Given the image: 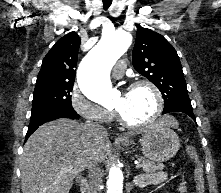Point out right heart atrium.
Returning a JSON list of instances; mask_svg holds the SVG:
<instances>
[{
    "mask_svg": "<svg viewBox=\"0 0 221 193\" xmlns=\"http://www.w3.org/2000/svg\"><path fill=\"white\" fill-rule=\"evenodd\" d=\"M70 105L73 110L82 118L105 124L114 117V112L89 99L78 87H73L70 94Z\"/></svg>",
    "mask_w": 221,
    "mask_h": 193,
    "instance_id": "1",
    "label": "right heart atrium"
}]
</instances>
